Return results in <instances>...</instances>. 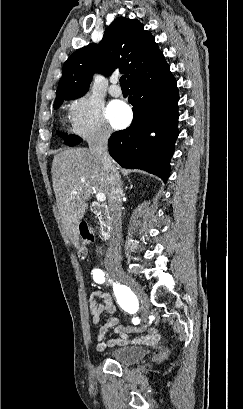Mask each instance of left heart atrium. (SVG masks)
Segmentation results:
<instances>
[{
  "label": "left heart atrium",
  "instance_id": "obj_1",
  "mask_svg": "<svg viewBox=\"0 0 243 409\" xmlns=\"http://www.w3.org/2000/svg\"><path fill=\"white\" fill-rule=\"evenodd\" d=\"M106 117L114 128L121 129L131 121V111L123 102L115 101L107 107Z\"/></svg>",
  "mask_w": 243,
  "mask_h": 409
}]
</instances>
